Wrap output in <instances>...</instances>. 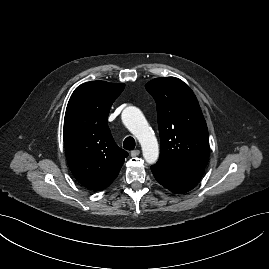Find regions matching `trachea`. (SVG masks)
Segmentation results:
<instances>
[{
    "label": "trachea",
    "mask_w": 269,
    "mask_h": 269,
    "mask_svg": "<svg viewBox=\"0 0 269 269\" xmlns=\"http://www.w3.org/2000/svg\"><path fill=\"white\" fill-rule=\"evenodd\" d=\"M123 147L126 150H133L135 148V140L133 137H127L123 142Z\"/></svg>",
    "instance_id": "trachea-1"
}]
</instances>
